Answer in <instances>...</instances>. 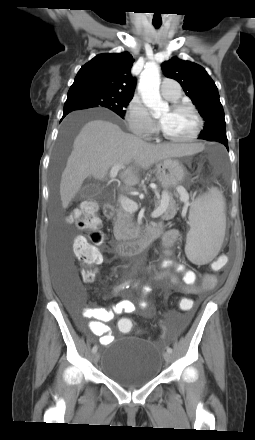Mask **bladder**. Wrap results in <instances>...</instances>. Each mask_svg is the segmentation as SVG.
<instances>
[{"label": "bladder", "instance_id": "31cf9c89", "mask_svg": "<svg viewBox=\"0 0 255 440\" xmlns=\"http://www.w3.org/2000/svg\"><path fill=\"white\" fill-rule=\"evenodd\" d=\"M126 344L112 341L106 345L102 373L117 385L135 390L152 382L162 368V354L149 341L122 338Z\"/></svg>", "mask_w": 255, "mask_h": 440}]
</instances>
